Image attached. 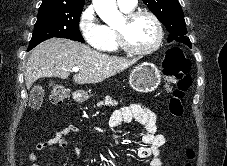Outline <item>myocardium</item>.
<instances>
[{"instance_id":"myocardium-1","label":"myocardium","mask_w":227,"mask_h":166,"mask_svg":"<svg viewBox=\"0 0 227 166\" xmlns=\"http://www.w3.org/2000/svg\"><path fill=\"white\" fill-rule=\"evenodd\" d=\"M140 16L149 17L153 21L156 28L155 40L149 47L135 48L131 46L125 39L123 26L115 28V35H116L117 44L123 51L132 55L145 56L155 52L160 47L163 39V28L158 17L154 13L147 10H134V11H129L124 13L122 17L123 25L133 21L134 19Z\"/></svg>"}]
</instances>
